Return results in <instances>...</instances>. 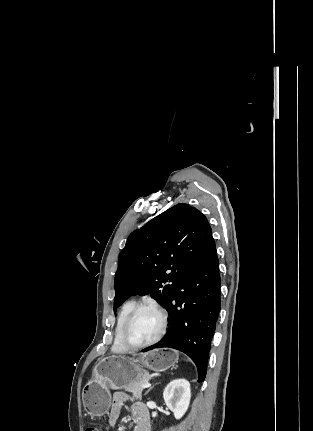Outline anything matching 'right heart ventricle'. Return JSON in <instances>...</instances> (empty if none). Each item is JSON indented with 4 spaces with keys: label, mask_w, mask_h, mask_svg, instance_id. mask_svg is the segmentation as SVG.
I'll return each instance as SVG.
<instances>
[{
    "label": "right heart ventricle",
    "mask_w": 313,
    "mask_h": 431,
    "mask_svg": "<svg viewBox=\"0 0 313 431\" xmlns=\"http://www.w3.org/2000/svg\"><path fill=\"white\" fill-rule=\"evenodd\" d=\"M137 305L136 301L133 299L125 301L118 312L115 331H114V340L112 344V351L116 353L126 352L128 349L122 344L121 341V332L126 318L128 317L131 310Z\"/></svg>",
    "instance_id": "e07e8e85"
}]
</instances>
